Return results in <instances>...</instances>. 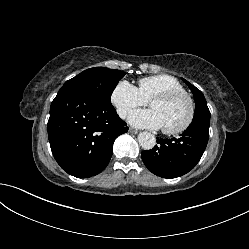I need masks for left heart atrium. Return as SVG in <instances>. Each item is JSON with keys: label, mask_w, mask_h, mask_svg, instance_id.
Wrapping results in <instances>:
<instances>
[{"label": "left heart atrium", "mask_w": 249, "mask_h": 249, "mask_svg": "<svg viewBox=\"0 0 249 249\" xmlns=\"http://www.w3.org/2000/svg\"><path fill=\"white\" fill-rule=\"evenodd\" d=\"M129 122L139 128L159 129L162 127L158 114L152 109L133 111L129 116Z\"/></svg>", "instance_id": "1"}]
</instances>
